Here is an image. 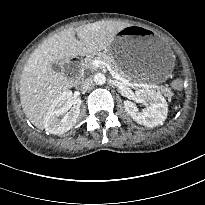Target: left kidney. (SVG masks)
<instances>
[{
	"label": "left kidney",
	"mask_w": 205,
	"mask_h": 205,
	"mask_svg": "<svg viewBox=\"0 0 205 205\" xmlns=\"http://www.w3.org/2000/svg\"><path fill=\"white\" fill-rule=\"evenodd\" d=\"M135 99L138 102H148L149 106L139 111L136 104L129 100L124 101V108L132 119L146 127H154L162 124L167 118L168 105L165 98L158 92L148 88L135 91Z\"/></svg>",
	"instance_id": "obj_1"
}]
</instances>
